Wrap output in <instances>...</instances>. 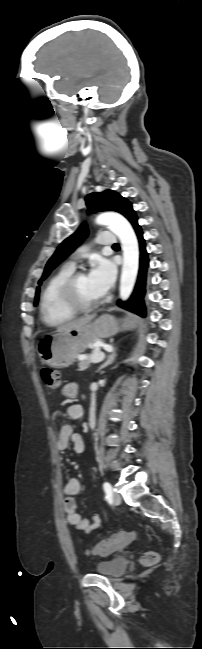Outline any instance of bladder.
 Returning a JSON list of instances; mask_svg holds the SVG:
<instances>
[{
    "mask_svg": "<svg viewBox=\"0 0 202 649\" xmlns=\"http://www.w3.org/2000/svg\"><path fill=\"white\" fill-rule=\"evenodd\" d=\"M127 567V559L123 557H116L110 560L99 562L95 568V572L103 576L115 578L123 575Z\"/></svg>",
    "mask_w": 202,
    "mask_h": 649,
    "instance_id": "bladder-1",
    "label": "bladder"
}]
</instances>
